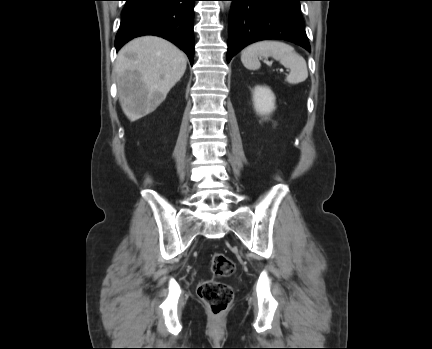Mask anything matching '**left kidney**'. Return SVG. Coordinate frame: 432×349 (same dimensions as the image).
<instances>
[{"instance_id": "left-kidney-1", "label": "left kidney", "mask_w": 432, "mask_h": 349, "mask_svg": "<svg viewBox=\"0 0 432 349\" xmlns=\"http://www.w3.org/2000/svg\"><path fill=\"white\" fill-rule=\"evenodd\" d=\"M253 104L260 115H269L275 109V96L270 88L256 86L253 91Z\"/></svg>"}]
</instances>
